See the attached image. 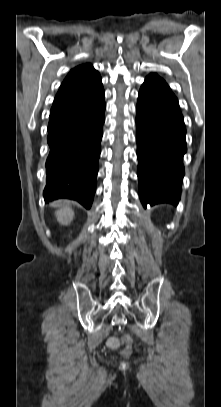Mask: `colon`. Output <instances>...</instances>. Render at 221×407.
Listing matches in <instances>:
<instances>
[{"instance_id": "obj_1", "label": "colon", "mask_w": 221, "mask_h": 407, "mask_svg": "<svg viewBox=\"0 0 221 407\" xmlns=\"http://www.w3.org/2000/svg\"><path fill=\"white\" fill-rule=\"evenodd\" d=\"M122 343L124 345L122 352H121L122 355H124V356L130 355L132 352V338L130 336H125L122 338ZM107 344L110 348L114 349L120 345V341L118 339L111 338L108 340Z\"/></svg>"}]
</instances>
